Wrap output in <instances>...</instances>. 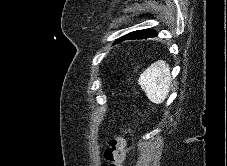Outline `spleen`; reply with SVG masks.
<instances>
[{"label":"spleen","mask_w":227,"mask_h":166,"mask_svg":"<svg viewBox=\"0 0 227 166\" xmlns=\"http://www.w3.org/2000/svg\"><path fill=\"white\" fill-rule=\"evenodd\" d=\"M138 83L151 102L161 104L167 98L170 90L169 65L163 60L154 62L140 75Z\"/></svg>","instance_id":"spleen-1"}]
</instances>
